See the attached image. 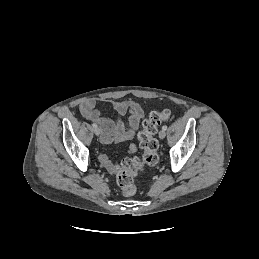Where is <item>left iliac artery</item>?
<instances>
[{"label":"left iliac artery","mask_w":259,"mask_h":259,"mask_svg":"<svg viewBox=\"0 0 259 259\" xmlns=\"http://www.w3.org/2000/svg\"><path fill=\"white\" fill-rule=\"evenodd\" d=\"M162 129H163V130H167V126L164 125V126L162 127Z\"/></svg>","instance_id":"1"}]
</instances>
